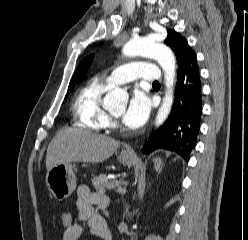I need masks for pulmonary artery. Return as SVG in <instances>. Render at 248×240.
<instances>
[{
	"label": "pulmonary artery",
	"instance_id": "pulmonary-artery-1",
	"mask_svg": "<svg viewBox=\"0 0 248 240\" xmlns=\"http://www.w3.org/2000/svg\"><path fill=\"white\" fill-rule=\"evenodd\" d=\"M137 79L156 82L161 80V73L154 64L132 61L113 69L106 77L110 84H124Z\"/></svg>",
	"mask_w": 248,
	"mask_h": 240
}]
</instances>
